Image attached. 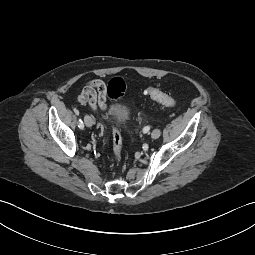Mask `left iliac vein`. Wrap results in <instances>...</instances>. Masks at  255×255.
Listing matches in <instances>:
<instances>
[{"label":"left iliac vein","instance_id":"obj_1","mask_svg":"<svg viewBox=\"0 0 255 255\" xmlns=\"http://www.w3.org/2000/svg\"><path fill=\"white\" fill-rule=\"evenodd\" d=\"M161 135V131L159 129H154L151 133V137L153 139H157L159 138V136Z\"/></svg>","mask_w":255,"mask_h":255}]
</instances>
